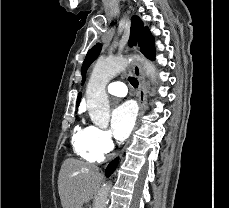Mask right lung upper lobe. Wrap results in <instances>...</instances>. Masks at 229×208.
Segmentation results:
<instances>
[{"instance_id":"obj_1","label":"right lung upper lobe","mask_w":229,"mask_h":208,"mask_svg":"<svg viewBox=\"0 0 229 208\" xmlns=\"http://www.w3.org/2000/svg\"><path fill=\"white\" fill-rule=\"evenodd\" d=\"M83 82H84V81H83ZM80 99H81V93L78 94L77 103H79Z\"/></svg>"}]
</instances>
